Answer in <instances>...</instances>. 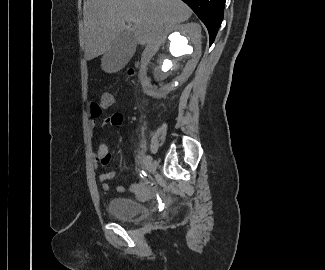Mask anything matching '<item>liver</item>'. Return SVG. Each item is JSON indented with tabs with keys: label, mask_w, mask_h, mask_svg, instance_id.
Masks as SVG:
<instances>
[{
	"label": "liver",
	"mask_w": 325,
	"mask_h": 270,
	"mask_svg": "<svg viewBox=\"0 0 325 270\" xmlns=\"http://www.w3.org/2000/svg\"><path fill=\"white\" fill-rule=\"evenodd\" d=\"M191 15V9L181 0H87L85 58L92 60L105 54L125 31L132 32L139 44L147 46L143 53L147 56L158 47L166 30L187 21ZM132 17L137 19L136 23L128 20Z\"/></svg>",
	"instance_id": "1"
}]
</instances>
